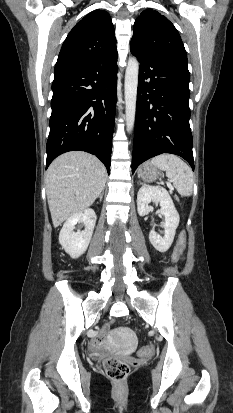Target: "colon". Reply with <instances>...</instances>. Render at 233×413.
Instances as JSON below:
<instances>
[{"label": "colon", "instance_id": "obj_1", "mask_svg": "<svg viewBox=\"0 0 233 413\" xmlns=\"http://www.w3.org/2000/svg\"><path fill=\"white\" fill-rule=\"evenodd\" d=\"M185 240L186 234L183 231L179 236L178 242L175 246L174 252L171 257L173 263L177 262L181 258L185 248ZM152 353V346H146L139 350V354L144 357L150 356ZM104 369L106 371L107 376L115 382L123 381L130 372V366L127 363L116 359L106 360L104 363Z\"/></svg>", "mask_w": 233, "mask_h": 413}]
</instances>
